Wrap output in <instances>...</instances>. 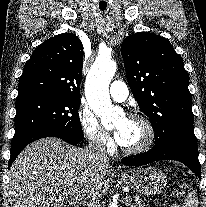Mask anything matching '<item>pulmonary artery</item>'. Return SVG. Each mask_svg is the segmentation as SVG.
Here are the masks:
<instances>
[{
  "mask_svg": "<svg viewBox=\"0 0 206 207\" xmlns=\"http://www.w3.org/2000/svg\"><path fill=\"white\" fill-rule=\"evenodd\" d=\"M109 92L111 97L118 102L126 100L129 94L128 87L125 85L124 82L119 80H115L111 83Z\"/></svg>",
  "mask_w": 206,
  "mask_h": 207,
  "instance_id": "1",
  "label": "pulmonary artery"
}]
</instances>
